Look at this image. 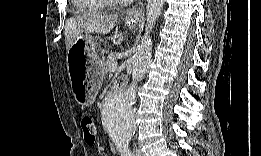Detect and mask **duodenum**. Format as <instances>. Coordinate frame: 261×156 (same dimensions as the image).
<instances>
[{
    "instance_id": "410a0bca",
    "label": "duodenum",
    "mask_w": 261,
    "mask_h": 156,
    "mask_svg": "<svg viewBox=\"0 0 261 156\" xmlns=\"http://www.w3.org/2000/svg\"><path fill=\"white\" fill-rule=\"evenodd\" d=\"M124 85L123 81H119L115 87L110 91V95L112 96L118 89L122 88Z\"/></svg>"
}]
</instances>
